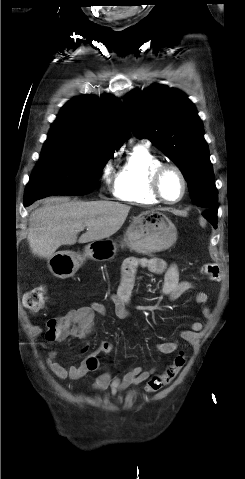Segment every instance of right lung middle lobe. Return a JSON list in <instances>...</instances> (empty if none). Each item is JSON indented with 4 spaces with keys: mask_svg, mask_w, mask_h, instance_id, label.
<instances>
[{
    "mask_svg": "<svg viewBox=\"0 0 245 479\" xmlns=\"http://www.w3.org/2000/svg\"><path fill=\"white\" fill-rule=\"evenodd\" d=\"M114 152L113 149L91 147L79 140L48 135L26 186L24 200L90 193Z\"/></svg>",
    "mask_w": 245,
    "mask_h": 479,
    "instance_id": "right-lung-middle-lobe-1",
    "label": "right lung middle lobe"
}]
</instances>
